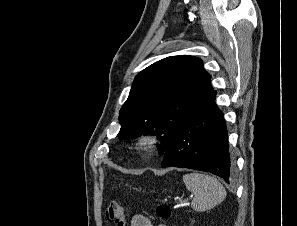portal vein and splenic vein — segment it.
I'll list each match as a JSON object with an SVG mask.
<instances>
[{
	"label": "portal vein and splenic vein",
	"mask_w": 297,
	"mask_h": 226,
	"mask_svg": "<svg viewBox=\"0 0 297 226\" xmlns=\"http://www.w3.org/2000/svg\"><path fill=\"white\" fill-rule=\"evenodd\" d=\"M188 201H185V200H179V205H183V204H186Z\"/></svg>",
	"instance_id": "18ae733b"
}]
</instances>
